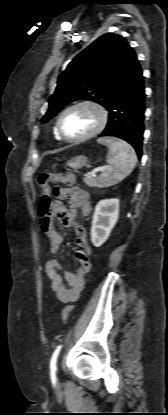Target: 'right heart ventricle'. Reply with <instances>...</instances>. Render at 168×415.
<instances>
[{
  "mask_svg": "<svg viewBox=\"0 0 168 415\" xmlns=\"http://www.w3.org/2000/svg\"><path fill=\"white\" fill-rule=\"evenodd\" d=\"M53 136L56 140H61L60 136L58 135L57 129H56V124L53 127Z\"/></svg>",
  "mask_w": 168,
  "mask_h": 415,
  "instance_id": "e07e8e85",
  "label": "right heart ventricle"
}]
</instances>
